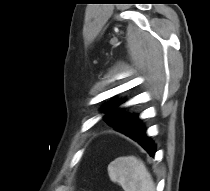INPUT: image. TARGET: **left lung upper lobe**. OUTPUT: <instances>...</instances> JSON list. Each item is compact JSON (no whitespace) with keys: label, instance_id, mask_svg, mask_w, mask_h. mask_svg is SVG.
Returning a JSON list of instances; mask_svg holds the SVG:
<instances>
[{"label":"left lung upper lobe","instance_id":"left-lung-upper-lobe-1","mask_svg":"<svg viewBox=\"0 0 210 191\" xmlns=\"http://www.w3.org/2000/svg\"><path fill=\"white\" fill-rule=\"evenodd\" d=\"M118 105L119 103L114 101L106 105L103 110L106 112L103 117L104 121L112 126L116 131L125 135L138 129L141 126V121L137 118V116L124 114L122 109H116Z\"/></svg>","mask_w":210,"mask_h":191}]
</instances>
